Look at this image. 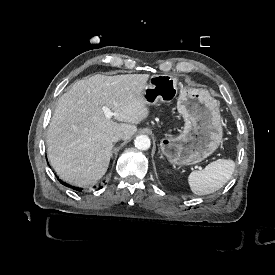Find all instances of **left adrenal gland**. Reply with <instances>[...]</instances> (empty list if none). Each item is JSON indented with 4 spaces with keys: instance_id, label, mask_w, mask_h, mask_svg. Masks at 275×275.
Returning a JSON list of instances; mask_svg holds the SVG:
<instances>
[{
    "instance_id": "obj_1",
    "label": "left adrenal gland",
    "mask_w": 275,
    "mask_h": 275,
    "mask_svg": "<svg viewBox=\"0 0 275 275\" xmlns=\"http://www.w3.org/2000/svg\"><path fill=\"white\" fill-rule=\"evenodd\" d=\"M158 152H160V150ZM160 158L163 159L164 157L161 155Z\"/></svg>"
}]
</instances>
